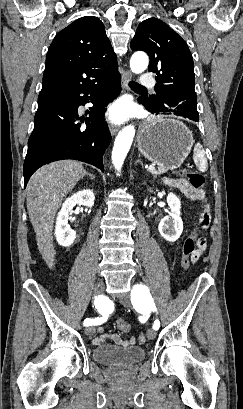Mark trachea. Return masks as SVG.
Masks as SVG:
<instances>
[{"label":"trachea","instance_id":"obj_1","mask_svg":"<svg viewBox=\"0 0 243 409\" xmlns=\"http://www.w3.org/2000/svg\"><path fill=\"white\" fill-rule=\"evenodd\" d=\"M129 86L136 89H145L144 87L133 81L129 82Z\"/></svg>","mask_w":243,"mask_h":409}]
</instances>
